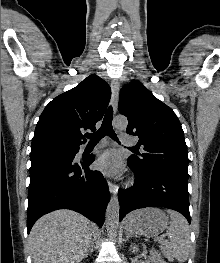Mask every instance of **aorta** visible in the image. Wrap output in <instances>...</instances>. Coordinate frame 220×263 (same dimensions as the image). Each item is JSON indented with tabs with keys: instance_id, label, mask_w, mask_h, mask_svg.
Returning a JSON list of instances; mask_svg holds the SVG:
<instances>
[{
	"instance_id": "762f6f07",
	"label": "aorta",
	"mask_w": 220,
	"mask_h": 263,
	"mask_svg": "<svg viewBox=\"0 0 220 263\" xmlns=\"http://www.w3.org/2000/svg\"><path fill=\"white\" fill-rule=\"evenodd\" d=\"M128 121L125 117H116L113 121V125L117 129H125L127 127ZM119 201L117 196H113L106 210V225L107 230L110 234H115L118 230L119 225Z\"/></svg>"
}]
</instances>
